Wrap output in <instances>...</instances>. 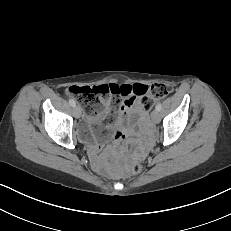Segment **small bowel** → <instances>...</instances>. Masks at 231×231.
<instances>
[{
    "label": "small bowel",
    "instance_id": "small-bowel-1",
    "mask_svg": "<svg viewBox=\"0 0 231 231\" xmlns=\"http://www.w3.org/2000/svg\"><path fill=\"white\" fill-rule=\"evenodd\" d=\"M127 86L131 88L133 85H122ZM134 94L130 91L127 95L124 97V101L120 107L121 113L119 117L115 120H112L111 123L105 125L103 127V141L100 142L98 145H96L92 150L93 155V161L96 165H101V163L97 159V155L104 147V142L113 136V146L117 147L122 140L129 135H132L135 133V123L138 120L140 116H143V113L136 110L137 106V100L134 99L132 105H128L127 101L128 99L133 96ZM106 103V102H104ZM109 117V113L107 109L104 110V112L99 115L97 118H87L85 123L96 131L97 127L103 120L107 119ZM145 147H142L144 149Z\"/></svg>",
    "mask_w": 231,
    "mask_h": 231
}]
</instances>
